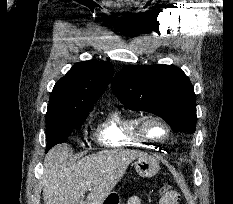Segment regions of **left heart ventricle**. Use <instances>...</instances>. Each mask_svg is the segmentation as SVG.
Listing matches in <instances>:
<instances>
[{
	"mask_svg": "<svg viewBox=\"0 0 233 204\" xmlns=\"http://www.w3.org/2000/svg\"><path fill=\"white\" fill-rule=\"evenodd\" d=\"M150 134L156 137H161L164 134V129L158 123L151 122L147 125Z\"/></svg>",
	"mask_w": 233,
	"mask_h": 204,
	"instance_id": "obj_1",
	"label": "left heart ventricle"
}]
</instances>
